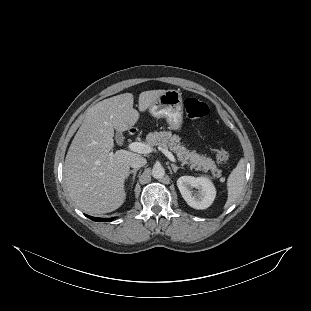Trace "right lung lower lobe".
<instances>
[{
  "instance_id": "obj_1",
  "label": "right lung lower lobe",
  "mask_w": 311,
  "mask_h": 311,
  "mask_svg": "<svg viewBox=\"0 0 311 311\" xmlns=\"http://www.w3.org/2000/svg\"><path fill=\"white\" fill-rule=\"evenodd\" d=\"M87 217H89L90 219L94 220V221H112V219L110 218H96V217H91L86 215Z\"/></svg>"
}]
</instances>
